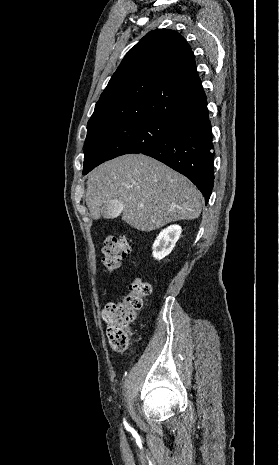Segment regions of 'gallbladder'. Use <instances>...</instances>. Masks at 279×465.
<instances>
[{
  "instance_id": "1",
  "label": "gallbladder",
  "mask_w": 279,
  "mask_h": 465,
  "mask_svg": "<svg viewBox=\"0 0 279 465\" xmlns=\"http://www.w3.org/2000/svg\"><path fill=\"white\" fill-rule=\"evenodd\" d=\"M121 204L117 200L107 202L101 209L102 215L106 219H115L120 215Z\"/></svg>"
}]
</instances>
